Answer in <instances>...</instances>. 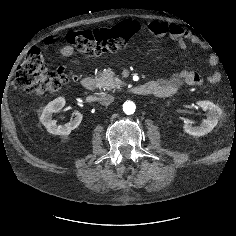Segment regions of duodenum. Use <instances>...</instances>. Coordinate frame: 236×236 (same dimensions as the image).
<instances>
[{
    "label": "duodenum",
    "instance_id": "duodenum-1",
    "mask_svg": "<svg viewBox=\"0 0 236 236\" xmlns=\"http://www.w3.org/2000/svg\"><path fill=\"white\" fill-rule=\"evenodd\" d=\"M96 80L92 76H86L82 79V86L86 90H94L96 88ZM131 93L136 95H151L153 94V86L149 83L147 84H139L131 87Z\"/></svg>",
    "mask_w": 236,
    "mask_h": 236
}]
</instances>
